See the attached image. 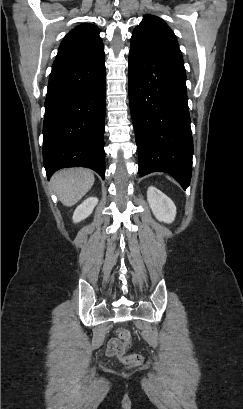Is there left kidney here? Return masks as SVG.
Returning <instances> with one entry per match:
<instances>
[{
    "instance_id": "left-kidney-1",
    "label": "left kidney",
    "mask_w": 243,
    "mask_h": 409,
    "mask_svg": "<svg viewBox=\"0 0 243 409\" xmlns=\"http://www.w3.org/2000/svg\"><path fill=\"white\" fill-rule=\"evenodd\" d=\"M147 200L157 220L171 223L176 216V207L173 201L157 188L150 186L147 190Z\"/></svg>"
}]
</instances>
